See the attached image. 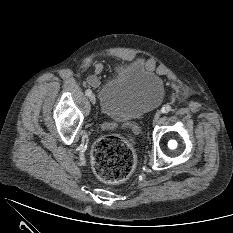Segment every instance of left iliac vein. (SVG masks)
Wrapping results in <instances>:
<instances>
[{
  "instance_id": "left-iliac-vein-1",
  "label": "left iliac vein",
  "mask_w": 233,
  "mask_h": 233,
  "mask_svg": "<svg viewBox=\"0 0 233 233\" xmlns=\"http://www.w3.org/2000/svg\"><path fill=\"white\" fill-rule=\"evenodd\" d=\"M160 116H161V111H157V112L155 113L154 120H153V123H154V124L157 123V121H158V119L160 118Z\"/></svg>"
}]
</instances>
